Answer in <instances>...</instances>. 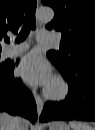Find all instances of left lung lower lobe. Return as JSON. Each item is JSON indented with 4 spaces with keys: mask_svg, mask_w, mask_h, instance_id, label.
<instances>
[{
    "mask_svg": "<svg viewBox=\"0 0 95 130\" xmlns=\"http://www.w3.org/2000/svg\"><path fill=\"white\" fill-rule=\"evenodd\" d=\"M56 67L69 84L68 96L62 102H47L40 121H95V64H80L69 70Z\"/></svg>",
    "mask_w": 95,
    "mask_h": 130,
    "instance_id": "left-lung-lower-lobe-1",
    "label": "left lung lower lobe"
}]
</instances>
